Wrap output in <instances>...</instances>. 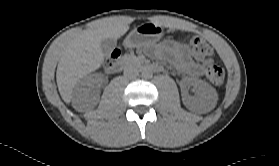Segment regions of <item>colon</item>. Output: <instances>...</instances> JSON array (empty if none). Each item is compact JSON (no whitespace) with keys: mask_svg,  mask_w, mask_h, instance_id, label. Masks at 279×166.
Wrapping results in <instances>:
<instances>
[{"mask_svg":"<svg viewBox=\"0 0 279 166\" xmlns=\"http://www.w3.org/2000/svg\"><path fill=\"white\" fill-rule=\"evenodd\" d=\"M183 40L186 41L192 50V53L196 59H202L206 56H209L212 53V49L209 45L199 37H183ZM120 52L118 50L113 51L106 59V65L111 66L115 60L119 57ZM207 79L214 85H221L225 78L224 69L215 64H211L206 69Z\"/></svg>","mask_w":279,"mask_h":166,"instance_id":"5ec220e1","label":"colon"}]
</instances>
